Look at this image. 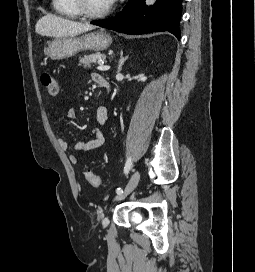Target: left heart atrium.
Wrapping results in <instances>:
<instances>
[{"instance_id":"39dd6f15","label":"left heart atrium","mask_w":255,"mask_h":272,"mask_svg":"<svg viewBox=\"0 0 255 272\" xmlns=\"http://www.w3.org/2000/svg\"><path fill=\"white\" fill-rule=\"evenodd\" d=\"M116 0H108V2L110 3V5L112 4V3H114Z\"/></svg>"}]
</instances>
